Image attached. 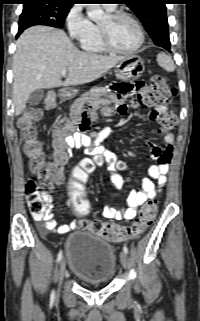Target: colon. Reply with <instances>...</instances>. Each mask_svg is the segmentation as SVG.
<instances>
[{
    "instance_id": "obj_1",
    "label": "colon",
    "mask_w": 200,
    "mask_h": 321,
    "mask_svg": "<svg viewBox=\"0 0 200 321\" xmlns=\"http://www.w3.org/2000/svg\"><path fill=\"white\" fill-rule=\"evenodd\" d=\"M143 83V82H137ZM145 90H140L139 96H133L137 104L148 106H165L175 96L176 91L170 86L167 79L163 76H154L149 83H145ZM56 105L54 95H47L43 99L45 110H52ZM127 105L121 102L117 106V112L126 113ZM42 110L37 108L28 109L19 119L21 144L30 157V168L35 174L37 181L29 180L26 184L27 202L30 213L35 218L43 217L46 212V203L44 195L54 186L55 182L63 176L62 161L64 158L65 147L61 144L62 137L67 134L72 127H77L81 132L87 131L94 118V112L85 110L73 114L69 119L61 121L57 126V138L55 143L58 146L59 153L50 158H46L36 122L41 118ZM176 123L173 115H168L165 124L166 128L171 129ZM99 159L85 160L73 173L70 181L67 197L74 216H88L90 202L85 195L84 186L87 181V175L91 172L95 164H99ZM119 167H123L119 164ZM158 206L156 200H150L145 203L138 215L136 221L128 227L114 223H107L101 220L87 222L82 220L80 225L89 228L93 233L98 234L112 242H124L132 238L139 237L153 223Z\"/></svg>"
}]
</instances>
